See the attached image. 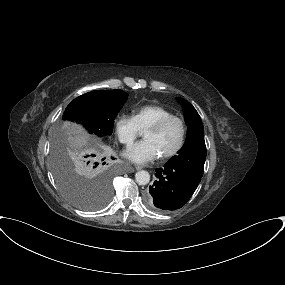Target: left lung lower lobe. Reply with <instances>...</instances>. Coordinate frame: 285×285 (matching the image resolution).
<instances>
[{
  "mask_svg": "<svg viewBox=\"0 0 285 285\" xmlns=\"http://www.w3.org/2000/svg\"><path fill=\"white\" fill-rule=\"evenodd\" d=\"M157 180L149 187L145 203L153 211L166 213L184 206L199 185L200 176L165 164L156 169Z\"/></svg>",
  "mask_w": 285,
  "mask_h": 285,
  "instance_id": "left-lung-lower-lobe-1",
  "label": "left lung lower lobe"
}]
</instances>
